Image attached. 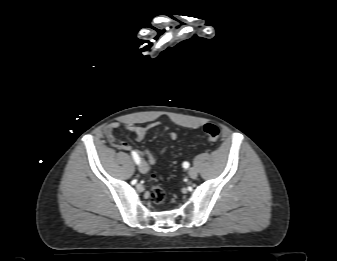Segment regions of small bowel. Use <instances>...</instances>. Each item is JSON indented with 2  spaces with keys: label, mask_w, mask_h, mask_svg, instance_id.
<instances>
[{
  "label": "small bowel",
  "mask_w": 337,
  "mask_h": 261,
  "mask_svg": "<svg viewBox=\"0 0 337 261\" xmlns=\"http://www.w3.org/2000/svg\"><path fill=\"white\" fill-rule=\"evenodd\" d=\"M121 125L118 122H112L110 124H107L103 128V133L106 136V138L109 140L110 144L122 151L130 150V145L121 139H118L115 135V130L119 129ZM125 129L131 133V135L137 140L141 141L145 138L148 132L151 130H157L159 133H169V139L171 141H175L177 139V134L175 132L170 131V128L161 123V122H153L144 126H135V125H126ZM168 150V147H165L161 152L160 155H164ZM137 154H139L143 159L144 162L148 165H154L157 163V158L153 155L149 154L145 150H136L134 151Z\"/></svg>",
  "instance_id": "small-bowel-1"
}]
</instances>
